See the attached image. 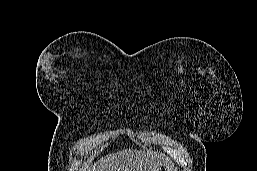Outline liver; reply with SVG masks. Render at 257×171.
I'll return each instance as SVG.
<instances>
[{
  "instance_id": "obj_1",
  "label": "liver",
  "mask_w": 257,
  "mask_h": 171,
  "mask_svg": "<svg viewBox=\"0 0 257 171\" xmlns=\"http://www.w3.org/2000/svg\"><path fill=\"white\" fill-rule=\"evenodd\" d=\"M82 171H159V162L150 152L125 149L100 158Z\"/></svg>"
}]
</instances>
